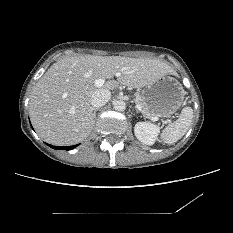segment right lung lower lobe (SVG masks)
I'll return each instance as SVG.
<instances>
[{
  "label": "right lung lower lobe",
  "mask_w": 233,
  "mask_h": 233,
  "mask_svg": "<svg viewBox=\"0 0 233 233\" xmlns=\"http://www.w3.org/2000/svg\"><path fill=\"white\" fill-rule=\"evenodd\" d=\"M51 148L56 149V150H71L75 147H77L78 145H74V146H67V147H62V146H52L49 145Z\"/></svg>",
  "instance_id": "1"
}]
</instances>
